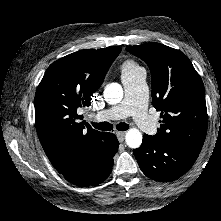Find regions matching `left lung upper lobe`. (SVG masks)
Segmentation results:
<instances>
[{"label":"left lung upper lobe","instance_id":"left-lung-upper-lobe-1","mask_svg":"<svg viewBox=\"0 0 221 221\" xmlns=\"http://www.w3.org/2000/svg\"><path fill=\"white\" fill-rule=\"evenodd\" d=\"M144 60L152 77V104L161 111L157 138H164L200 153L208 125L202 79L181 51L160 43L128 46Z\"/></svg>","mask_w":221,"mask_h":221}]
</instances>
